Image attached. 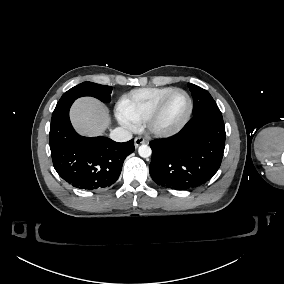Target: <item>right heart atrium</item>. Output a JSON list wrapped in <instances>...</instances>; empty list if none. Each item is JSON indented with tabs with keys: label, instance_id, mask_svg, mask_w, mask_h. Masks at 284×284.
Listing matches in <instances>:
<instances>
[{
	"label": "right heart atrium",
	"instance_id": "right-heart-atrium-1",
	"mask_svg": "<svg viewBox=\"0 0 284 284\" xmlns=\"http://www.w3.org/2000/svg\"><path fill=\"white\" fill-rule=\"evenodd\" d=\"M121 122H122V124L124 125V126H126V127H129L130 125L125 121V120H121Z\"/></svg>",
	"mask_w": 284,
	"mask_h": 284
}]
</instances>
